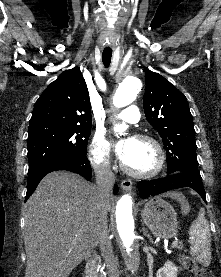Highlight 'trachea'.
Returning a JSON list of instances; mask_svg holds the SVG:
<instances>
[{
    "instance_id": "3493384b",
    "label": "trachea",
    "mask_w": 221,
    "mask_h": 277,
    "mask_svg": "<svg viewBox=\"0 0 221 277\" xmlns=\"http://www.w3.org/2000/svg\"><path fill=\"white\" fill-rule=\"evenodd\" d=\"M111 58H112V51H103L102 53V61L105 67H109L111 63Z\"/></svg>"
}]
</instances>
